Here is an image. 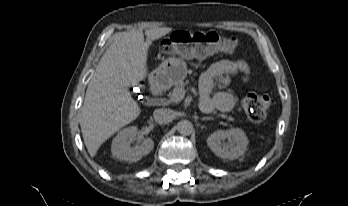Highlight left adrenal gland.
<instances>
[{
    "label": "left adrenal gland",
    "instance_id": "obj_1",
    "mask_svg": "<svg viewBox=\"0 0 348 206\" xmlns=\"http://www.w3.org/2000/svg\"><path fill=\"white\" fill-rule=\"evenodd\" d=\"M211 119H212L211 117H203V118H201V121L211 120Z\"/></svg>",
    "mask_w": 348,
    "mask_h": 206
}]
</instances>
